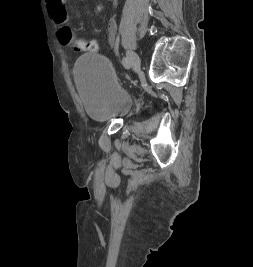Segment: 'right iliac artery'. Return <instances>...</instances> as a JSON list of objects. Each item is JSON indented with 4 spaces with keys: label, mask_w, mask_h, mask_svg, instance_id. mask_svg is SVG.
<instances>
[{
    "label": "right iliac artery",
    "mask_w": 253,
    "mask_h": 267,
    "mask_svg": "<svg viewBox=\"0 0 253 267\" xmlns=\"http://www.w3.org/2000/svg\"><path fill=\"white\" fill-rule=\"evenodd\" d=\"M122 65L126 68V69H129L130 68V60L128 57H124L122 59Z\"/></svg>",
    "instance_id": "82829eb1"
}]
</instances>
